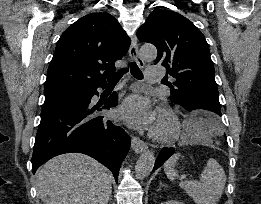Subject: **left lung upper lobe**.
Segmentation results:
<instances>
[{"mask_svg": "<svg viewBox=\"0 0 261 204\" xmlns=\"http://www.w3.org/2000/svg\"><path fill=\"white\" fill-rule=\"evenodd\" d=\"M137 37L156 46V63L176 78L169 85L171 100L185 109L208 111L220 122L214 65L201 31L177 12L155 9L138 29Z\"/></svg>", "mask_w": 261, "mask_h": 204, "instance_id": "obj_1", "label": "left lung upper lobe"}]
</instances>
